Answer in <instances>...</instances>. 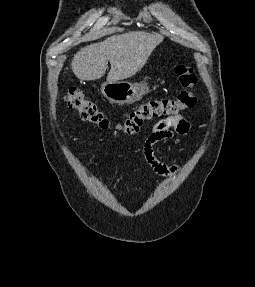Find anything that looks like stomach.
I'll return each mask as SVG.
<instances>
[{"mask_svg": "<svg viewBox=\"0 0 255 287\" xmlns=\"http://www.w3.org/2000/svg\"><path fill=\"white\" fill-rule=\"evenodd\" d=\"M148 88L146 84H130V82H105L100 92L106 100L119 106H129L143 98Z\"/></svg>", "mask_w": 255, "mask_h": 287, "instance_id": "stomach-1", "label": "stomach"}]
</instances>
